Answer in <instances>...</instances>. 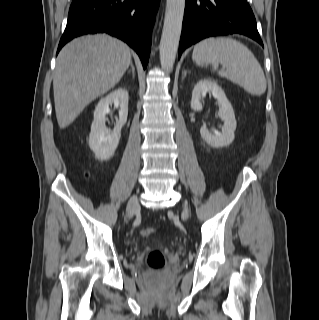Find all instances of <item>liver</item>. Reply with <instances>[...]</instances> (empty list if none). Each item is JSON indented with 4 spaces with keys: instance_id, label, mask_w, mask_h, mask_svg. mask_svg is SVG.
I'll use <instances>...</instances> for the list:
<instances>
[{
    "instance_id": "obj_1",
    "label": "liver",
    "mask_w": 319,
    "mask_h": 320,
    "mask_svg": "<svg viewBox=\"0 0 319 320\" xmlns=\"http://www.w3.org/2000/svg\"><path fill=\"white\" fill-rule=\"evenodd\" d=\"M130 63L128 45L106 34L82 36L65 45L53 78L59 127H68L89 103L112 89Z\"/></svg>"
}]
</instances>
